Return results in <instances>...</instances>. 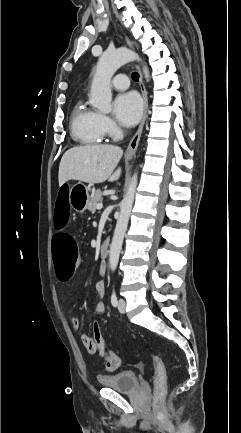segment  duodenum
I'll list each match as a JSON object with an SVG mask.
<instances>
[{"mask_svg":"<svg viewBox=\"0 0 241 433\" xmlns=\"http://www.w3.org/2000/svg\"><path fill=\"white\" fill-rule=\"evenodd\" d=\"M109 241L105 240L102 242V244L100 245V256L102 258V260H106L108 257V253H109Z\"/></svg>","mask_w":241,"mask_h":433,"instance_id":"duodenum-1","label":"duodenum"}]
</instances>
